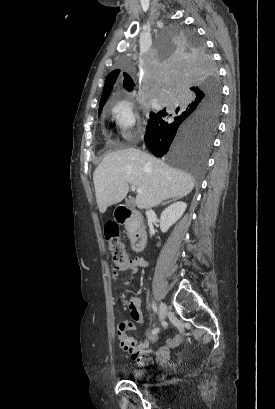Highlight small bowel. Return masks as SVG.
I'll return each mask as SVG.
<instances>
[{
	"label": "small bowel",
	"mask_w": 275,
	"mask_h": 409,
	"mask_svg": "<svg viewBox=\"0 0 275 409\" xmlns=\"http://www.w3.org/2000/svg\"><path fill=\"white\" fill-rule=\"evenodd\" d=\"M127 270H131L133 275L138 273V268L141 267V264L137 261L129 260L128 265L126 266ZM119 270L117 268L111 269L110 279L117 280L119 278ZM134 279L130 277L124 278L125 284L133 283ZM123 283V282H122ZM117 285V284H116ZM129 307L133 308L130 310V317L126 322H118L117 323V336L119 337L118 340V348L120 351H130L129 357L131 360H135L140 366H149L154 361L157 362H166L169 357V352L166 348L160 347L157 350H152L150 345L157 341V337L155 334H149L148 339L143 342H139L137 337H130L128 335L129 328H134L136 326V321L140 322L142 315L139 313L140 311V302L139 301H130Z\"/></svg>",
	"instance_id": "1"
}]
</instances>
